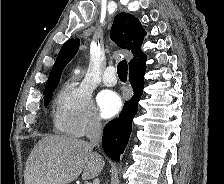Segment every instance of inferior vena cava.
<instances>
[{
    "label": "inferior vena cava",
    "instance_id": "inferior-vena-cava-1",
    "mask_svg": "<svg viewBox=\"0 0 224 184\" xmlns=\"http://www.w3.org/2000/svg\"><path fill=\"white\" fill-rule=\"evenodd\" d=\"M86 137L92 147L99 146L101 140V123L97 116H92L86 129Z\"/></svg>",
    "mask_w": 224,
    "mask_h": 184
}]
</instances>
